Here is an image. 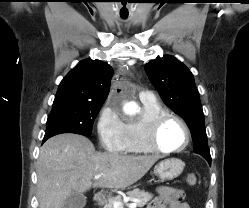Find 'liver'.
I'll use <instances>...</instances> for the list:
<instances>
[{
  "instance_id": "liver-1",
  "label": "liver",
  "mask_w": 249,
  "mask_h": 208,
  "mask_svg": "<svg viewBox=\"0 0 249 208\" xmlns=\"http://www.w3.org/2000/svg\"><path fill=\"white\" fill-rule=\"evenodd\" d=\"M158 156H125L95 151L92 142L78 134L64 133L48 139L37 161L39 208H63L72 193L91 187L125 189L140 180ZM102 177L92 180L96 175Z\"/></svg>"
}]
</instances>
